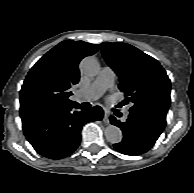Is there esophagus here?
I'll return each instance as SVG.
<instances>
[{
	"instance_id": "obj_1",
	"label": "esophagus",
	"mask_w": 194,
	"mask_h": 193,
	"mask_svg": "<svg viewBox=\"0 0 194 193\" xmlns=\"http://www.w3.org/2000/svg\"><path fill=\"white\" fill-rule=\"evenodd\" d=\"M109 113L107 111L104 112V117H103V121L105 123H109Z\"/></svg>"
}]
</instances>
